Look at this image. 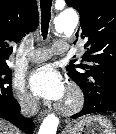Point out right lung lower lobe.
Wrapping results in <instances>:
<instances>
[{
    "label": "right lung lower lobe",
    "instance_id": "right-lung-lower-lobe-1",
    "mask_svg": "<svg viewBox=\"0 0 116 134\" xmlns=\"http://www.w3.org/2000/svg\"><path fill=\"white\" fill-rule=\"evenodd\" d=\"M0 118L6 119L27 134H32L35 128L31 118H25L20 114V106L16 101L0 105Z\"/></svg>",
    "mask_w": 116,
    "mask_h": 134
}]
</instances>
